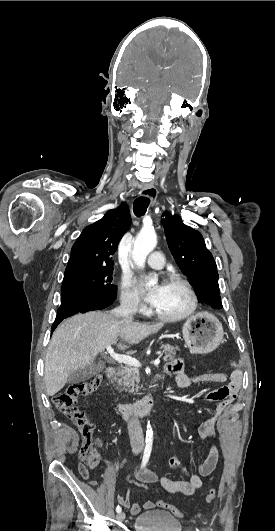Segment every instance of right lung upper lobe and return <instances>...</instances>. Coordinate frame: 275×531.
Masks as SVG:
<instances>
[{"label":"right lung upper lobe","mask_w":275,"mask_h":531,"mask_svg":"<svg viewBox=\"0 0 275 531\" xmlns=\"http://www.w3.org/2000/svg\"><path fill=\"white\" fill-rule=\"evenodd\" d=\"M130 224L131 216L124 202L85 227L72 247L65 272L88 268L113 269V255Z\"/></svg>","instance_id":"1"}]
</instances>
